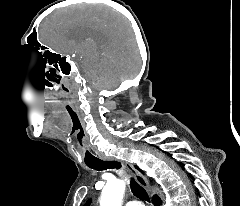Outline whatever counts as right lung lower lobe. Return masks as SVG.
Returning a JSON list of instances; mask_svg holds the SVG:
<instances>
[{"mask_svg": "<svg viewBox=\"0 0 240 206\" xmlns=\"http://www.w3.org/2000/svg\"><path fill=\"white\" fill-rule=\"evenodd\" d=\"M153 200L155 206H159L161 204V199L158 196H154Z\"/></svg>", "mask_w": 240, "mask_h": 206, "instance_id": "98d812e1", "label": "right lung lower lobe"}]
</instances>
